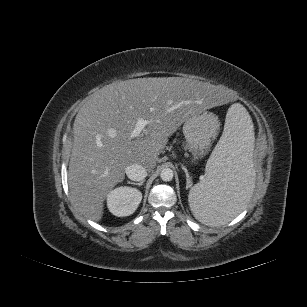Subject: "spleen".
<instances>
[{
    "label": "spleen",
    "instance_id": "obj_1",
    "mask_svg": "<svg viewBox=\"0 0 307 307\" xmlns=\"http://www.w3.org/2000/svg\"><path fill=\"white\" fill-rule=\"evenodd\" d=\"M254 132L246 109L232 105L223 134L206 164L205 178L188 195L194 217L208 226H220L238 215L254 190L252 165Z\"/></svg>",
    "mask_w": 307,
    "mask_h": 307
}]
</instances>
